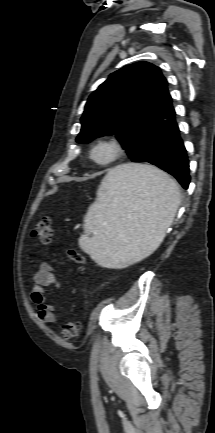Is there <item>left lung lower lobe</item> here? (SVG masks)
Segmentation results:
<instances>
[{
    "mask_svg": "<svg viewBox=\"0 0 215 433\" xmlns=\"http://www.w3.org/2000/svg\"><path fill=\"white\" fill-rule=\"evenodd\" d=\"M153 165L174 176L184 189L188 188L189 161L175 119L162 140L157 160Z\"/></svg>",
    "mask_w": 215,
    "mask_h": 433,
    "instance_id": "0a47b994",
    "label": "left lung lower lobe"
}]
</instances>
